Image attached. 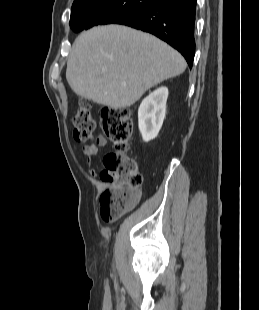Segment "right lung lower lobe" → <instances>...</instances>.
Instances as JSON below:
<instances>
[{"mask_svg": "<svg viewBox=\"0 0 259 310\" xmlns=\"http://www.w3.org/2000/svg\"><path fill=\"white\" fill-rule=\"evenodd\" d=\"M196 0H155L149 6L119 20L149 32L178 50L192 67L195 55Z\"/></svg>", "mask_w": 259, "mask_h": 310, "instance_id": "1", "label": "right lung lower lobe"}]
</instances>
